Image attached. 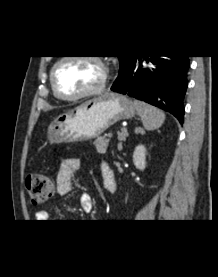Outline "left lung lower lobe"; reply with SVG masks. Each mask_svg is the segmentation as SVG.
<instances>
[{
    "mask_svg": "<svg viewBox=\"0 0 218 277\" xmlns=\"http://www.w3.org/2000/svg\"><path fill=\"white\" fill-rule=\"evenodd\" d=\"M148 65L143 66L142 60ZM187 55L133 56L111 87L172 113L183 123L190 62Z\"/></svg>",
    "mask_w": 218,
    "mask_h": 277,
    "instance_id": "0a47b994",
    "label": "left lung lower lobe"
}]
</instances>
